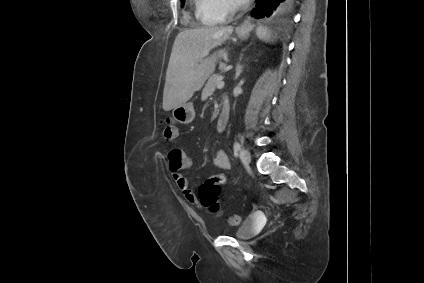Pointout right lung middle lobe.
Returning <instances> with one entry per match:
<instances>
[{"label": "right lung middle lobe", "instance_id": "1", "mask_svg": "<svg viewBox=\"0 0 424 283\" xmlns=\"http://www.w3.org/2000/svg\"><path fill=\"white\" fill-rule=\"evenodd\" d=\"M185 0H182V3L184 4Z\"/></svg>", "mask_w": 424, "mask_h": 283}]
</instances>
